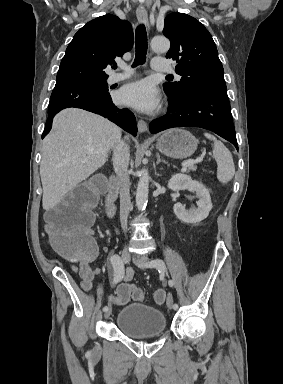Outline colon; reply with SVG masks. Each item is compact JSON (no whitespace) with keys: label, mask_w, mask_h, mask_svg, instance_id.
<instances>
[{"label":"colon","mask_w":283,"mask_h":384,"mask_svg":"<svg viewBox=\"0 0 283 384\" xmlns=\"http://www.w3.org/2000/svg\"><path fill=\"white\" fill-rule=\"evenodd\" d=\"M102 186L100 179L82 184L67 193L64 198L46 215V231L53 247L63 257L71 261H90L97 253L90 227L93 222V208ZM145 300L144 292L130 284L119 287L109 302L122 305L130 298ZM156 303L165 301L163 290L154 292Z\"/></svg>","instance_id":"obj_1"}]
</instances>
